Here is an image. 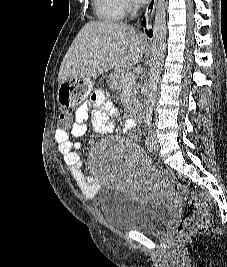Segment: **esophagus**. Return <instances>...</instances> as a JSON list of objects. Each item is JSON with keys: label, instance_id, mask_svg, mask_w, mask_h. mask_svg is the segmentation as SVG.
Wrapping results in <instances>:
<instances>
[{"label": "esophagus", "instance_id": "esophagus-1", "mask_svg": "<svg viewBox=\"0 0 227 267\" xmlns=\"http://www.w3.org/2000/svg\"><path fill=\"white\" fill-rule=\"evenodd\" d=\"M157 0H149V3L146 8V17H147V25L150 26L154 11L156 8Z\"/></svg>", "mask_w": 227, "mask_h": 267}]
</instances>
